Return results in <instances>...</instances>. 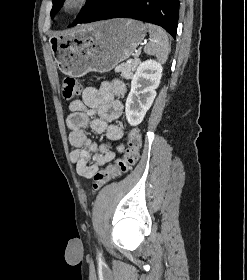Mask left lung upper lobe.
Segmentation results:
<instances>
[{
  "label": "left lung upper lobe",
  "instance_id": "left-lung-upper-lobe-1",
  "mask_svg": "<svg viewBox=\"0 0 247 280\" xmlns=\"http://www.w3.org/2000/svg\"><path fill=\"white\" fill-rule=\"evenodd\" d=\"M106 1L107 0H91L89 5L83 7L78 18L74 21V23H78L80 20L84 19L96 8L103 5ZM52 2H53V8L51 10V17L53 18L55 14L59 11L60 6L62 4V0H52Z\"/></svg>",
  "mask_w": 247,
  "mask_h": 280
}]
</instances>
